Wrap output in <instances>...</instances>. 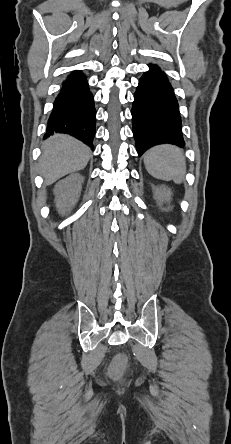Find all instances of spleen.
I'll return each instance as SVG.
<instances>
[{
  "label": "spleen",
  "mask_w": 231,
  "mask_h": 444,
  "mask_svg": "<svg viewBox=\"0 0 231 444\" xmlns=\"http://www.w3.org/2000/svg\"><path fill=\"white\" fill-rule=\"evenodd\" d=\"M144 165L154 178L179 184L184 180L186 162L180 148L163 144L150 148L144 155Z\"/></svg>",
  "instance_id": "1"
}]
</instances>
